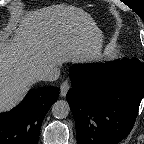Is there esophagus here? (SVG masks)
Returning <instances> with one entry per match:
<instances>
[{
	"instance_id": "34e87169",
	"label": "esophagus",
	"mask_w": 144,
	"mask_h": 144,
	"mask_svg": "<svg viewBox=\"0 0 144 144\" xmlns=\"http://www.w3.org/2000/svg\"><path fill=\"white\" fill-rule=\"evenodd\" d=\"M70 88H71L70 82L68 80H65L60 86V95L62 97H65Z\"/></svg>"
}]
</instances>
